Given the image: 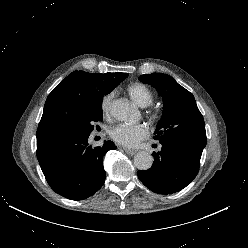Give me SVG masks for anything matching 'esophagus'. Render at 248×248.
<instances>
[{"instance_id":"34e87169","label":"esophagus","mask_w":248,"mask_h":248,"mask_svg":"<svg viewBox=\"0 0 248 248\" xmlns=\"http://www.w3.org/2000/svg\"><path fill=\"white\" fill-rule=\"evenodd\" d=\"M124 151L129 155H134L136 153V150H132L129 148H124Z\"/></svg>"}]
</instances>
